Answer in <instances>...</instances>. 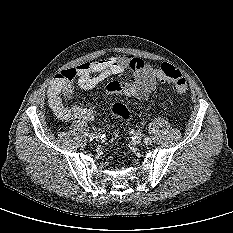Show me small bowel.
<instances>
[{"instance_id": "c3829d8e", "label": "small bowel", "mask_w": 233, "mask_h": 233, "mask_svg": "<svg viewBox=\"0 0 233 233\" xmlns=\"http://www.w3.org/2000/svg\"><path fill=\"white\" fill-rule=\"evenodd\" d=\"M157 64H149L138 57L120 55L91 62H83L75 68L64 71L48 89L49 105L56 116L64 121H89L94 117V105L67 106L63 103L62 84L72 76L77 80L78 87L90 90L108 77L118 75L126 69L134 72L135 81L131 83L111 82L106 88V94L122 93L140 100L147 99L156 87Z\"/></svg>"}]
</instances>
